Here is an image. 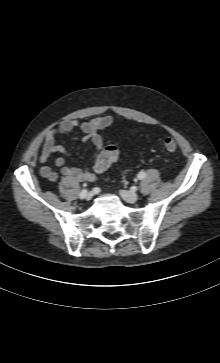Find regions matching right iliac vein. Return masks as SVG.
<instances>
[{
    "instance_id": "right-iliac-vein-1",
    "label": "right iliac vein",
    "mask_w": 220,
    "mask_h": 363,
    "mask_svg": "<svg viewBox=\"0 0 220 363\" xmlns=\"http://www.w3.org/2000/svg\"><path fill=\"white\" fill-rule=\"evenodd\" d=\"M92 193L91 192H88V193H86V195H85V197H84V199L86 200V201H89V200H91V198H92Z\"/></svg>"
}]
</instances>
